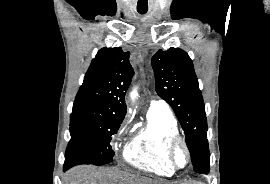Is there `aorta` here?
<instances>
[{
  "mask_svg": "<svg viewBox=\"0 0 270 184\" xmlns=\"http://www.w3.org/2000/svg\"><path fill=\"white\" fill-rule=\"evenodd\" d=\"M137 96H138L137 88H134L130 93V97L134 101Z\"/></svg>",
  "mask_w": 270,
  "mask_h": 184,
  "instance_id": "aorta-1",
  "label": "aorta"
}]
</instances>
